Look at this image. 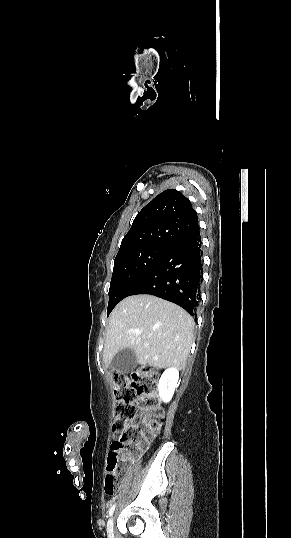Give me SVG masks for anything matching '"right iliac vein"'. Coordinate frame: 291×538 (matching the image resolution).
<instances>
[{
	"mask_svg": "<svg viewBox=\"0 0 291 538\" xmlns=\"http://www.w3.org/2000/svg\"><path fill=\"white\" fill-rule=\"evenodd\" d=\"M107 532L109 538H114V530H113V518H110L107 525Z\"/></svg>",
	"mask_w": 291,
	"mask_h": 538,
	"instance_id": "obj_1",
	"label": "right iliac vein"
}]
</instances>
